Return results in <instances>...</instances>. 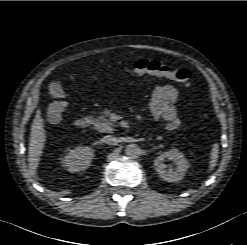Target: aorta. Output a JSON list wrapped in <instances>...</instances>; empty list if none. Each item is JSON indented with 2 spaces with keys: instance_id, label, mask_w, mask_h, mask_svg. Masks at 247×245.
I'll list each match as a JSON object with an SVG mask.
<instances>
[{
  "instance_id": "obj_1",
  "label": "aorta",
  "mask_w": 247,
  "mask_h": 245,
  "mask_svg": "<svg viewBox=\"0 0 247 245\" xmlns=\"http://www.w3.org/2000/svg\"><path fill=\"white\" fill-rule=\"evenodd\" d=\"M125 154L129 158H137L141 154V149L137 144H129L125 148Z\"/></svg>"
}]
</instances>
